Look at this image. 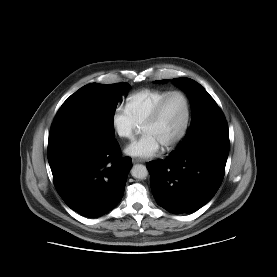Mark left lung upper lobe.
<instances>
[{
  "label": "left lung upper lobe",
  "instance_id": "5c2ea615",
  "mask_svg": "<svg viewBox=\"0 0 277 277\" xmlns=\"http://www.w3.org/2000/svg\"><path fill=\"white\" fill-rule=\"evenodd\" d=\"M157 82L163 83L166 80ZM172 82L180 86L187 93L192 105V122L178 148L201 129L226 122L217 103L199 83L189 78H176Z\"/></svg>",
  "mask_w": 277,
  "mask_h": 277
}]
</instances>
